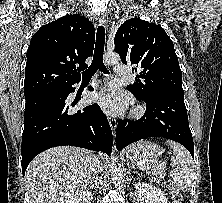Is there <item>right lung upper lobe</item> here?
<instances>
[{
    "label": "right lung upper lobe",
    "mask_w": 222,
    "mask_h": 203,
    "mask_svg": "<svg viewBox=\"0 0 222 203\" xmlns=\"http://www.w3.org/2000/svg\"><path fill=\"white\" fill-rule=\"evenodd\" d=\"M95 29L78 15H66L42 26L27 50L24 95L80 81L85 60L93 53Z\"/></svg>",
    "instance_id": "right-lung-upper-lobe-1"
}]
</instances>
